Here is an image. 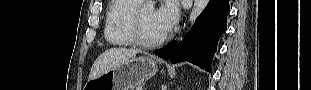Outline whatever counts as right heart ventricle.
<instances>
[{"label": "right heart ventricle", "mask_w": 311, "mask_h": 90, "mask_svg": "<svg viewBox=\"0 0 311 90\" xmlns=\"http://www.w3.org/2000/svg\"><path fill=\"white\" fill-rule=\"evenodd\" d=\"M141 0H114L108 7L104 35L106 40L117 46L135 45L131 19Z\"/></svg>", "instance_id": "e07e8e85"}]
</instances>
